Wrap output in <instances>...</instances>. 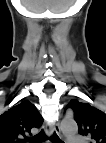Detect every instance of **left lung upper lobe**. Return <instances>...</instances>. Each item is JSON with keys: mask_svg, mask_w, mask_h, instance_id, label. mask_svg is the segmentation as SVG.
I'll return each instance as SVG.
<instances>
[{"mask_svg": "<svg viewBox=\"0 0 106 143\" xmlns=\"http://www.w3.org/2000/svg\"><path fill=\"white\" fill-rule=\"evenodd\" d=\"M66 108L73 110L79 134L91 138L94 143H106V114L88 103L71 100Z\"/></svg>", "mask_w": 106, "mask_h": 143, "instance_id": "left-lung-upper-lobe-1", "label": "left lung upper lobe"}]
</instances>
